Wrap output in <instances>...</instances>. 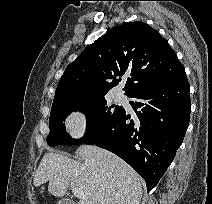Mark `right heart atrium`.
I'll use <instances>...</instances> for the list:
<instances>
[{
    "instance_id": "1",
    "label": "right heart atrium",
    "mask_w": 212,
    "mask_h": 204,
    "mask_svg": "<svg viewBox=\"0 0 212 204\" xmlns=\"http://www.w3.org/2000/svg\"><path fill=\"white\" fill-rule=\"evenodd\" d=\"M91 114L83 108L71 110L65 118V127L70 138L74 140L84 139L91 128Z\"/></svg>"
}]
</instances>
